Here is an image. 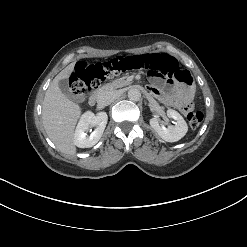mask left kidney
I'll list each match as a JSON object with an SVG mask.
<instances>
[{
  "label": "left kidney",
  "instance_id": "obj_1",
  "mask_svg": "<svg viewBox=\"0 0 247 247\" xmlns=\"http://www.w3.org/2000/svg\"><path fill=\"white\" fill-rule=\"evenodd\" d=\"M167 116L175 120V125H170L167 128L157 119H150V126L153 130L165 141L176 142L183 138L187 131L188 126L184 118L175 110L168 109Z\"/></svg>",
  "mask_w": 247,
  "mask_h": 247
}]
</instances>
